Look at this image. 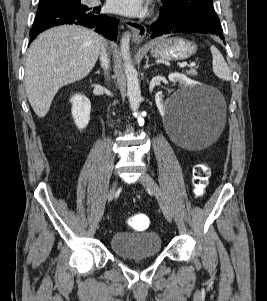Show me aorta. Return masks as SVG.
<instances>
[{
	"instance_id": "1",
	"label": "aorta",
	"mask_w": 267,
	"mask_h": 301,
	"mask_svg": "<svg viewBox=\"0 0 267 301\" xmlns=\"http://www.w3.org/2000/svg\"><path fill=\"white\" fill-rule=\"evenodd\" d=\"M130 34L125 33L121 39V55L124 61V70L127 78V96L132 111H137L141 102V90L138 73L134 68L130 56Z\"/></svg>"
}]
</instances>
